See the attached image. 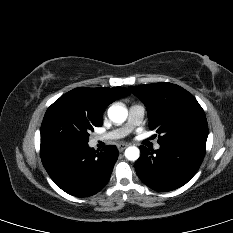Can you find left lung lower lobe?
Segmentation results:
<instances>
[{"mask_svg": "<svg viewBox=\"0 0 233 233\" xmlns=\"http://www.w3.org/2000/svg\"><path fill=\"white\" fill-rule=\"evenodd\" d=\"M205 142L183 141L160 145L159 150L140 146L135 169L148 187L166 192L186 184L199 169L205 155Z\"/></svg>", "mask_w": 233, "mask_h": 233, "instance_id": "1", "label": "left lung lower lobe"}]
</instances>
